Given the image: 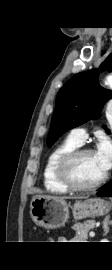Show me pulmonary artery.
<instances>
[{"instance_id": "obj_1", "label": "pulmonary artery", "mask_w": 112, "mask_h": 270, "mask_svg": "<svg viewBox=\"0 0 112 270\" xmlns=\"http://www.w3.org/2000/svg\"><path fill=\"white\" fill-rule=\"evenodd\" d=\"M108 113L109 115H112V102L109 104ZM69 137L81 145L87 138L86 129L80 127L74 128L70 131Z\"/></svg>"}]
</instances>
